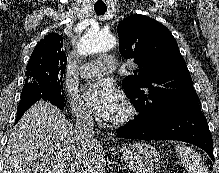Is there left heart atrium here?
Instances as JSON below:
<instances>
[{"label": "left heart atrium", "mask_w": 219, "mask_h": 173, "mask_svg": "<svg viewBox=\"0 0 219 173\" xmlns=\"http://www.w3.org/2000/svg\"><path fill=\"white\" fill-rule=\"evenodd\" d=\"M85 98L90 107L103 119L112 118L122 104L120 91L110 81H99L89 85Z\"/></svg>", "instance_id": "39dd6f15"}]
</instances>
